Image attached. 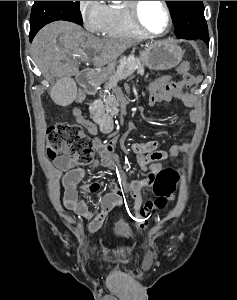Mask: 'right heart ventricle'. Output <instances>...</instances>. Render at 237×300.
<instances>
[{
    "mask_svg": "<svg viewBox=\"0 0 237 300\" xmlns=\"http://www.w3.org/2000/svg\"><path fill=\"white\" fill-rule=\"evenodd\" d=\"M112 36H142L135 26L129 10V1L112 4L108 9V28L106 32Z\"/></svg>",
    "mask_w": 237,
    "mask_h": 300,
    "instance_id": "1",
    "label": "right heart ventricle"
}]
</instances>
